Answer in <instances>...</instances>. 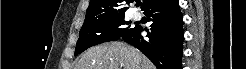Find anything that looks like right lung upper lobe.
<instances>
[{
  "instance_id": "cb5924a9",
  "label": "right lung upper lobe",
  "mask_w": 246,
  "mask_h": 69,
  "mask_svg": "<svg viewBox=\"0 0 246 69\" xmlns=\"http://www.w3.org/2000/svg\"><path fill=\"white\" fill-rule=\"evenodd\" d=\"M129 4L130 0H90L85 21L99 20L113 15H124L128 7H123V2ZM161 0H143L142 10L147 9Z\"/></svg>"
}]
</instances>
